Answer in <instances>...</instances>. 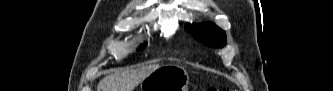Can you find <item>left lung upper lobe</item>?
<instances>
[{
	"label": "left lung upper lobe",
	"instance_id": "obj_1",
	"mask_svg": "<svg viewBox=\"0 0 333 91\" xmlns=\"http://www.w3.org/2000/svg\"><path fill=\"white\" fill-rule=\"evenodd\" d=\"M186 30L198 41L208 46L222 47L226 43L225 32L210 22L190 25Z\"/></svg>",
	"mask_w": 333,
	"mask_h": 91
}]
</instances>
